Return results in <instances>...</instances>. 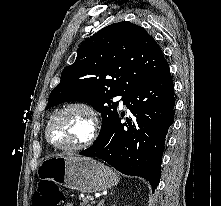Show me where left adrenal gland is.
<instances>
[{
    "label": "left adrenal gland",
    "instance_id": "obj_1",
    "mask_svg": "<svg viewBox=\"0 0 221 206\" xmlns=\"http://www.w3.org/2000/svg\"><path fill=\"white\" fill-rule=\"evenodd\" d=\"M104 205V200L100 201L98 206H103Z\"/></svg>",
    "mask_w": 221,
    "mask_h": 206
}]
</instances>
